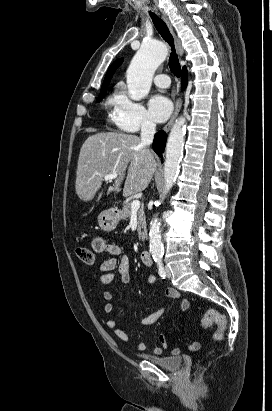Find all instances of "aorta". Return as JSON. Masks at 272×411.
Returning a JSON list of instances; mask_svg holds the SVG:
<instances>
[{
	"mask_svg": "<svg viewBox=\"0 0 272 411\" xmlns=\"http://www.w3.org/2000/svg\"><path fill=\"white\" fill-rule=\"evenodd\" d=\"M167 48L162 42L144 43L133 57L127 72V86L131 99L139 101L150 91L152 78L157 67L166 59ZM186 120L178 118L170 132L166 144V158L164 163V188L160 196L161 201L173 187L179 173L180 162L183 157ZM150 253L155 261L163 256V244L160 232V222L152 219L149 231Z\"/></svg>",
	"mask_w": 272,
	"mask_h": 411,
	"instance_id": "1",
	"label": "aorta"
}]
</instances>
